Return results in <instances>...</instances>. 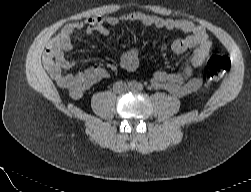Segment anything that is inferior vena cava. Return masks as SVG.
Returning <instances> with one entry per match:
<instances>
[{
	"instance_id": "obj_1",
	"label": "inferior vena cava",
	"mask_w": 251,
	"mask_h": 192,
	"mask_svg": "<svg viewBox=\"0 0 251 192\" xmlns=\"http://www.w3.org/2000/svg\"><path fill=\"white\" fill-rule=\"evenodd\" d=\"M126 89V84L123 83L122 81L120 82H116L114 85H113V90L115 92H120V91H123Z\"/></svg>"
}]
</instances>
